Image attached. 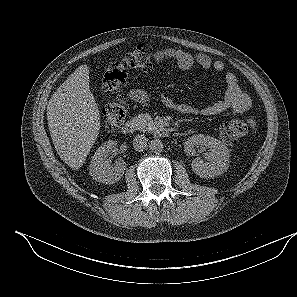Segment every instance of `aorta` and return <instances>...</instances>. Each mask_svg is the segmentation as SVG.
<instances>
[{
	"label": "aorta",
	"mask_w": 297,
	"mask_h": 297,
	"mask_svg": "<svg viewBox=\"0 0 297 297\" xmlns=\"http://www.w3.org/2000/svg\"><path fill=\"white\" fill-rule=\"evenodd\" d=\"M149 148L154 153H160L163 150V143L160 139L155 138L149 143Z\"/></svg>",
	"instance_id": "obj_1"
}]
</instances>
